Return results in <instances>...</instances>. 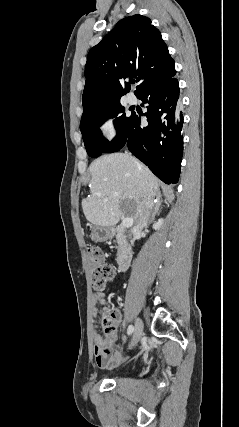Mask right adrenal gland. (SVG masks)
Returning a JSON list of instances; mask_svg holds the SVG:
<instances>
[{
    "mask_svg": "<svg viewBox=\"0 0 239 427\" xmlns=\"http://www.w3.org/2000/svg\"><path fill=\"white\" fill-rule=\"evenodd\" d=\"M160 197H161L160 193H157V201L158 202H156L155 212L158 210V205H159V199H160Z\"/></svg>",
    "mask_w": 239,
    "mask_h": 427,
    "instance_id": "right-adrenal-gland-1",
    "label": "right adrenal gland"
}]
</instances>
